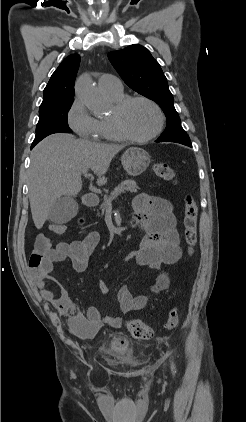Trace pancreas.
Here are the masks:
<instances>
[{
	"label": "pancreas",
	"mask_w": 246,
	"mask_h": 422,
	"mask_svg": "<svg viewBox=\"0 0 246 422\" xmlns=\"http://www.w3.org/2000/svg\"><path fill=\"white\" fill-rule=\"evenodd\" d=\"M139 187L136 184L135 180L127 179L124 180L121 184L116 186L113 191H111L110 195H105L103 201L99 207L101 215L104 214L106 208L112 203L114 199H116L121 193L124 191H129L131 193L137 192Z\"/></svg>",
	"instance_id": "obj_1"
}]
</instances>
